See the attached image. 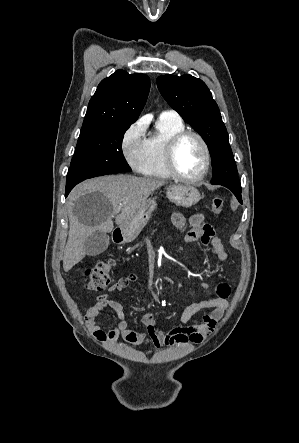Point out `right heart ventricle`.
I'll return each instance as SVG.
<instances>
[{"label":"right heart ventricle","mask_w":299,"mask_h":443,"mask_svg":"<svg viewBox=\"0 0 299 443\" xmlns=\"http://www.w3.org/2000/svg\"><path fill=\"white\" fill-rule=\"evenodd\" d=\"M156 132L146 139L145 158L140 172L153 178L167 179L171 175L165 165V148L169 140L185 130L181 118L159 117Z\"/></svg>","instance_id":"right-heart-ventricle-1"}]
</instances>
